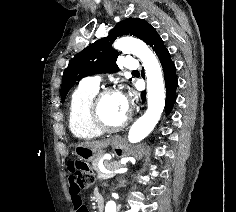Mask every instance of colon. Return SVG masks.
Wrapping results in <instances>:
<instances>
[{"instance_id": "5ec220e1", "label": "colon", "mask_w": 236, "mask_h": 212, "mask_svg": "<svg viewBox=\"0 0 236 212\" xmlns=\"http://www.w3.org/2000/svg\"><path fill=\"white\" fill-rule=\"evenodd\" d=\"M69 175H78V179L81 180V185L90 186L94 181V175L90 167L81 161H71L69 163Z\"/></svg>"}]
</instances>
